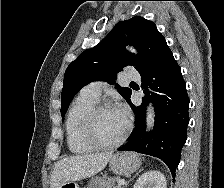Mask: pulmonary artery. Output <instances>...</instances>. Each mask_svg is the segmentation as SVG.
Masks as SVG:
<instances>
[{
  "label": "pulmonary artery",
  "mask_w": 224,
  "mask_h": 188,
  "mask_svg": "<svg viewBox=\"0 0 224 188\" xmlns=\"http://www.w3.org/2000/svg\"><path fill=\"white\" fill-rule=\"evenodd\" d=\"M124 77L131 80H138L140 79V74L137 70L133 68H127L125 70ZM102 87H103V82L94 81L86 85L82 91L86 93L87 95L98 100L101 95Z\"/></svg>",
  "instance_id": "e3ab8cb5"
}]
</instances>
